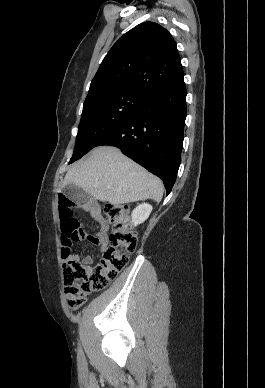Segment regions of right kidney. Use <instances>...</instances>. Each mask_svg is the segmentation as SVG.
Wrapping results in <instances>:
<instances>
[{"mask_svg":"<svg viewBox=\"0 0 265 388\" xmlns=\"http://www.w3.org/2000/svg\"><path fill=\"white\" fill-rule=\"evenodd\" d=\"M151 212L152 206H150V204H140V206H137L132 212V222L134 226L143 224V222L149 218Z\"/></svg>","mask_w":265,"mask_h":388,"instance_id":"1","label":"right kidney"}]
</instances>
